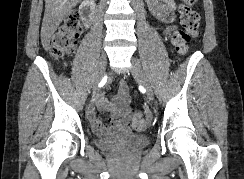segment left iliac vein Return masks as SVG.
Here are the masks:
<instances>
[{"label": "left iliac vein", "mask_w": 244, "mask_h": 179, "mask_svg": "<svg viewBox=\"0 0 244 179\" xmlns=\"http://www.w3.org/2000/svg\"><path fill=\"white\" fill-rule=\"evenodd\" d=\"M131 72L134 75V77L139 81V83L145 88L146 90V99L149 102H152L154 99V93H153V89L151 86L150 81L148 80L144 70L142 69L140 63L132 58L131 59Z\"/></svg>", "instance_id": "4c4485c4"}]
</instances>
